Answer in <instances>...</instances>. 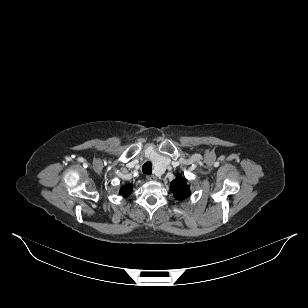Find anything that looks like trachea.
I'll return each instance as SVG.
<instances>
[{
    "label": "trachea",
    "mask_w": 308,
    "mask_h": 308,
    "mask_svg": "<svg viewBox=\"0 0 308 308\" xmlns=\"http://www.w3.org/2000/svg\"><path fill=\"white\" fill-rule=\"evenodd\" d=\"M142 171L144 174H147V175H151L152 173V164L151 162H146L143 167H142Z\"/></svg>",
    "instance_id": "1"
}]
</instances>
